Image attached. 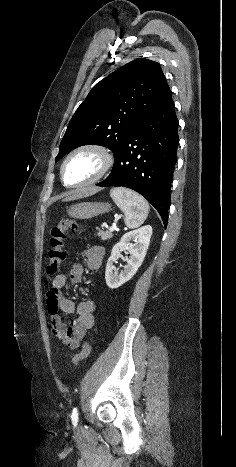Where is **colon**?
Returning a JSON list of instances; mask_svg holds the SVG:
<instances>
[{
  "mask_svg": "<svg viewBox=\"0 0 236 467\" xmlns=\"http://www.w3.org/2000/svg\"><path fill=\"white\" fill-rule=\"evenodd\" d=\"M78 228L79 225L76 221L72 219H62L51 229L48 262L46 266V273L48 276H56L66 258L64 251V239L66 237V232L70 229L77 231ZM90 352L91 346L88 342H85L81 351L73 357V364L78 365L82 360L89 356Z\"/></svg>",
  "mask_w": 236,
  "mask_h": 467,
  "instance_id": "obj_1",
  "label": "colon"
}]
</instances>
